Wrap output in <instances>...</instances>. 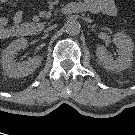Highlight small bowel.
I'll use <instances>...</instances> for the list:
<instances>
[{"instance_id": "obj_1", "label": "small bowel", "mask_w": 135, "mask_h": 135, "mask_svg": "<svg viewBox=\"0 0 135 135\" xmlns=\"http://www.w3.org/2000/svg\"><path fill=\"white\" fill-rule=\"evenodd\" d=\"M9 0H0L6 3ZM85 7L92 13H102L107 16H115L117 7L113 0H85ZM23 19V12L18 10L11 18L0 17V39L21 34L20 23Z\"/></svg>"}]
</instances>
